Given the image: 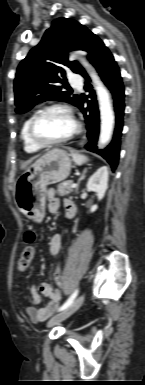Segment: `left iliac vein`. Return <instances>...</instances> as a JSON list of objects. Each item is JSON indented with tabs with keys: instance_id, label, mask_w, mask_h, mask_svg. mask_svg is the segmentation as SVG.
Here are the masks:
<instances>
[{
	"instance_id": "obj_1",
	"label": "left iliac vein",
	"mask_w": 145,
	"mask_h": 385,
	"mask_svg": "<svg viewBox=\"0 0 145 385\" xmlns=\"http://www.w3.org/2000/svg\"><path fill=\"white\" fill-rule=\"evenodd\" d=\"M84 299H85V297L83 294L80 295L79 297H77L69 307L64 309L59 314L53 316L48 321L47 326L52 327V326L58 324L59 322L67 319L69 316H71L74 312H76L81 307V305L84 302Z\"/></svg>"
}]
</instances>
